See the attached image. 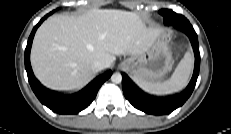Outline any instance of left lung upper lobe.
<instances>
[{"label":"left lung upper lobe","mask_w":231,"mask_h":134,"mask_svg":"<svg viewBox=\"0 0 231 134\" xmlns=\"http://www.w3.org/2000/svg\"><path fill=\"white\" fill-rule=\"evenodd\" d=\"M171 10H168V9H162L159 11V13L164 17V22L165 24H170V20H169V17L171 16Z\"/></svg>","instance_id":"left-lung-upper-lobe-1"}]
</instances>
